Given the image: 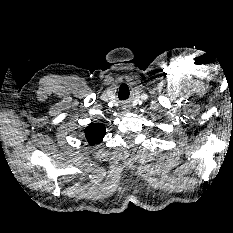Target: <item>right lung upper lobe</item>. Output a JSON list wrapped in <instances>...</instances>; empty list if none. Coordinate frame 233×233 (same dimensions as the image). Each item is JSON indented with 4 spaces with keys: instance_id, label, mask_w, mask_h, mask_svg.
<instances>
[{
    "instance_id": "right-lung-upper-lobe-1",
    "label": "right lung upper lobe",
    "mask_w": 233,
    "mask_h": 233,
    "mask_svg": "<svg viewBox=\"0 0 233 233\" xmlns=\"http://www.w3.org/2000/svg\"><path fill=\"white\" fill-rule=\"evenodd\" d=\"M86 140L90 145L100 143L105 136V127L103 124H91L85 130Z\"/></svg>"
}]
</instances>
